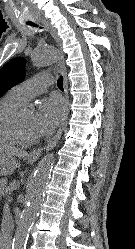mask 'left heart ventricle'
Returning a JSON list of instances; mask_svg holds the SVG:
<instances>
[{"label": "left heart ventricle", "mask_w": 135, "mask_h": 249, "mask_svg": "<svg viewBox=\"0 0 135 249\" xmlns=\"http://www.w3.org/2000/svg\"><path fill=\"white\" fill-rule=\"evenodd\" d=\"M34 122L35 113L31 110L24 109L21 114L20 123L25 134L31 137L38 135Z\"/></svg>", "instance_id": "left-heart-ventricle-1"}]
</instances>
